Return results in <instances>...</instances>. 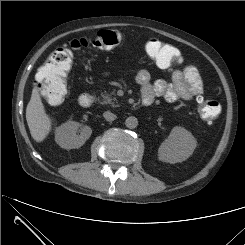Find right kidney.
<instances>
[{
  "label": "right kidney",
  "instance_id": "1",
  "mask_svg": "<svg viewBox=\"0 0 245 245\" xmlns=\"http://www.w3.org/2000/svg\"><path fill=\"white\" fill-rule=\"evenodd\" d=\"M80 134H77V133ZM92 134L89 126L78 122L68 121L56 128L55 141L64 149L80 148Z\"/></svg>",
  "mask_w": 245,
  "mask_h": 245
}]
</instances>
